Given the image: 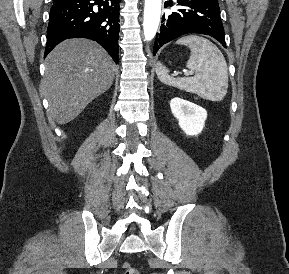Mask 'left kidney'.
<instances>
[{
	"label": "left kidney",
	"mask_w": 289,
	"mask_h": 274,
	"mask_svg": "<svg viewBox=\"0 0 289 274\" xmlns=\"http://www.w3.org/2000/svg\"><path fill=\"white\" fill-rule=\"evenodd\" d=\"M170 108L180 128L187 135L196 136L201 133L207 118L204 108L178 97L171 100Z\"/></svg>",
	"instance_id": "left-kidney-1"
}]
</instances>
